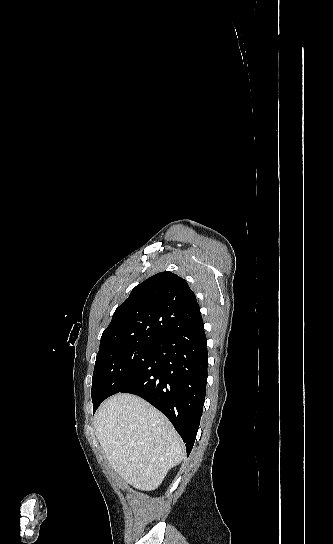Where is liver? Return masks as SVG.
<instances>
[{
  "instance_id": "obj_1",
  "label": "liver",
  "mask_w": 333,
  "mask_h": 544,
  "mask_svg": "<svg viewBox=\"0 0 333 544\" xmlns=\"http://www.w3.org/2000/svg\"><path fill=\"white\" fill-rule=\"evenodd\" d=\"M95 434L114 470L134 488H158L185 457L184 445L169 420L131 394L108 398L94 416Z\"/></svg>"
}]
</instances>
